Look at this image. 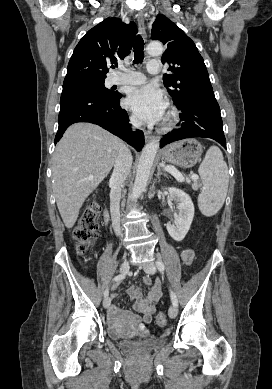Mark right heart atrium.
<instances>
[{
	"mask_svg": "<svg viewBox=\"0 0 272 389\" xmlns=\"http://www.w3.org/2000/svg\"><path fill=\"white\" fill-rule=\"evenodd\" d=\"M131 120H132V123L137 124V120L134 117H132Z\"/></svg>",
	"mask_w": 272,
	"mask_h": 389,
	"instance_id": "right-heart-atrium-1",
	"label": "right heart atrium"
}]
</instances>
